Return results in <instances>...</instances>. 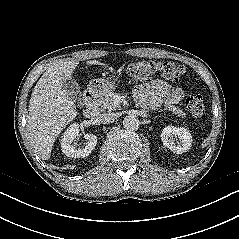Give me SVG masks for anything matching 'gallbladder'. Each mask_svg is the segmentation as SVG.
Here are the masks:
<instances>
[{"mask_svg": "<svg viewBox=\"0 0 239 239\" xmlns=\"http://www.w3.org/2000/svg\"><path fill=\"white\" fill-rule=\"evenodd\" d=\"M63 88L67 91L69 98L77 105H83L82 93L80 87L74 78L65 79L63 81Z\"/></svg>", "mask_w": 239, "mask_h": 239, "instance_id": "1", "label": "gallbladder"}]
</instances>
